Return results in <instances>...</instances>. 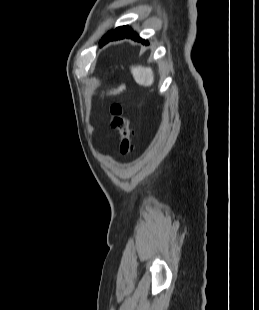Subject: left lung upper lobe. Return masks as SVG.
Instances as JSON below:
<instances>
[{
    "mask_svg": "<svg viewBox=\"0 0 259 310\" xmlns=\"http://www.w3.org/2000/svg\"><path fill=\"white\" fill-rule=\"evenodd\" d=\"M112 31H113V30H112ZM112 31L108 32L107 35H109ZM107 35H106V36H107ZM106 36H105V37H106Z\"/></svg>",
    "mask_w": 259,
    "mask_h": 310,
    "instance_id": "left-lung-upper-lobe-1",
    "label": "left lung upper lobe"
}]
</instances>
